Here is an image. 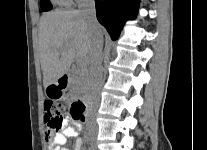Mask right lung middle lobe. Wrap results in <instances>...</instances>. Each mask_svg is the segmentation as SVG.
Segmentation results:
<instances>
[{
    "label": "right lung middle lobe",
    "mask_w": 207,
    "mask_h": 150,
    "mask_svg": "<svg viewBox=\"0 0 207 150\" xmlns=\"http://www.w3.org/2000/svg\"><path fill=\"white\" fill-rule=\"evenodd\" d=\"M41 8L43 11H49L52 9V4L49 0H41Z\"/></svg>",
    "instance_id": "1"
}]
</instances>
